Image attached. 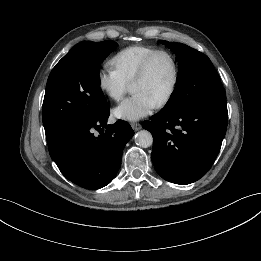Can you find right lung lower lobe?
I'll use <instances>...</instances> for the list:
<instances>
[{
	"mask_svg": "<svg viewBox=\"0 0 261 261\" xmlns=\"http://www.w3.org/2000/svg\"><path fill=\"white\" fill-rule=\"evenodd\" d=\"M108 117L109 110L93 121L68 127L47 140L50 156L63 175L86 189H99L113 180L123 149L133 136L126 121L107 125ZM95 129L100 135H94Z\"/></svg>",
	"mask_w": 261,
	"mask_h": 261,
	"instance_id": "98d812e1",
	"label": "right lung lower lobe"
}]
</instances>
